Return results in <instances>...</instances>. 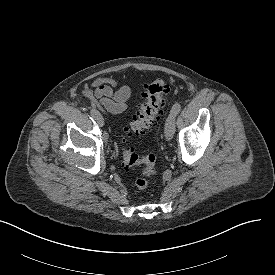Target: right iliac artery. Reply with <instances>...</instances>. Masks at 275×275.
<instances>
[{
    "mask_svg": "<svg viewBox=\"0 0 275 275\" xmlns=\"http://www.w3.org/2000/svg\"><path fill=\"white\" fill-rule=\"evenodd\" d=\"M98 113H99V112H98L96 109H92V110L90 111V114H91L92 118H94V119H95V117L97 116Z\"/></svg>",
    "mask_w": 275,
    "mask_h": 275,
    "instance_id": "1",
    "label": "right iliac artery"
}]
</instances>
